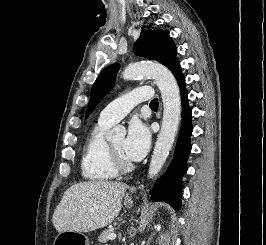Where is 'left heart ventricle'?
Wrapping results in <instances>:
<instances>
[{
  "mask_svg": "<svg viewBox=\"0 0 266 245\" xmlns=\"http://www.w3.org/2000/svg\"><path fill=\"white\" fill-rule=\"evenodd\" d=\"M123 142L124 139L123 137H117L110 141V144L114 150V152L118 155V157L123 161V162H129L125 155L123 154Z\"/></svg>",
  "mask_w": 266,
  "mask_h": 245,
  "instance_id": "1",
  "label": "left heart ventricle"
}]
</instances>
